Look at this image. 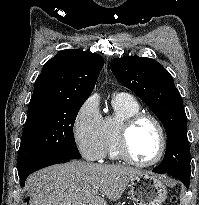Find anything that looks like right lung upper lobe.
<instances>
[{
	"mask_svg": "<svg viewBox=\"0 0 199 205\" xmlns=\"http://www.w3.org/2000/svg\"><path fill=\"white\" fill-rule=\"evenodd\" d=\"M103 66L104 60L97 53L59 51L36 79L28 112L53 104L86 101Z\"/></svg>",
	"mask_w": 199,
	"mask_h": 205,
	"instance_id": "obj_1",
	"label": "right lung upper lobe"
}]
</instances>
